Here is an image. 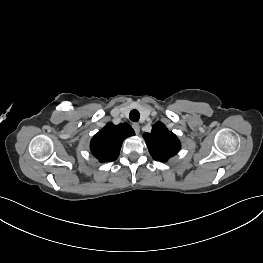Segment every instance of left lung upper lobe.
Instances as JSON below:
<instances>
[{
	"instance_id": "obj_1",
	"label": "left lung upper lobe",
	"mask_w": 263,
	"mask_h": 263,
	"mask_svg": "<svg viewBox=\"0 0 263 263\" xmlns=\"http://www.w3.org/2000/svg\"><path fill=\"white\" fill-rule=\"evenodd\" d=\"M143 137L150 154L155 160L166 162L177 154L181 148L180 141L174 133L169 131L161 122L153 125L150 133H144Z\"/></svg>"
}]
</instances>
